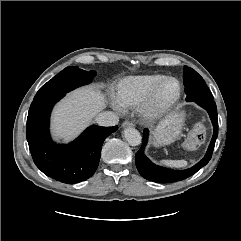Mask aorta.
<instances>
[{"mask_svg":"<svg viewBox=\"0 0 241 241\" xmlns=\"http://www.w3.org/2000/svg\"><path fill=\"white\" fill-rule=\"evenodd\" d=\"M124 137L131 146H138L141 144L142 137L135 128H126L124 130Z\"/></svg>","mask_w":241,"mask_h":241,"instance_id":"1","label":"aorta"}]
</instances>
